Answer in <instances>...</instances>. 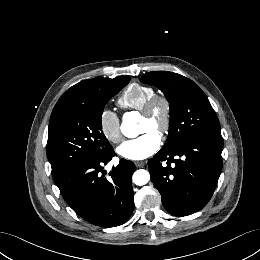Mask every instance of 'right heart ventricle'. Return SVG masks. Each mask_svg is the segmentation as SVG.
<instances>
[{
	"mask_svg": "<svg viewBox=\"0 0 260 260\" xmlns=\"http://www.w3.org/2000/svg\"><path fill=\"white\" fill-rule=\"evenodd\" d=\"M154 94L155 90L151 86L132 83L121 93L118 104L124 110H141L145 102Z\"/></svg>",
	"mask_w": 260,
	"mask_h": 260,
	"instance_id": "e07e8e85",
	"label": "right heart ventricle"
}]
</instances>
